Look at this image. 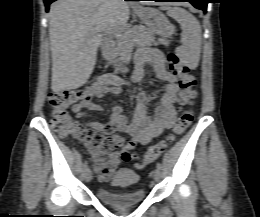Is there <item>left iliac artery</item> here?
Returning <instances> with one entry per match:
<instances>
[{"label": "left iliac artery", "instance_id": "obj_1", "mask_svg": "<svg viewBox=\"0 0 260 217\" xmlns=\"http://www.w3.org/2000/svg\"><path fill=\"white\" fill-rule=\"evenodd\" d=\"M156 167H157L158 169H161V168H162V165H161V163H160V162H158V163L156 164Z\"/></svg>", "mask_w": 260, "mask_h": 217}]
</instances>
